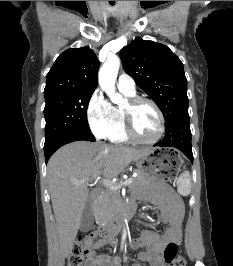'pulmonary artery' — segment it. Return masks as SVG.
<instances>
[{
  "label": "pulmonary artery",
  "mask_w": 233,
  "mask_h": 266,
  "mask_svg": "<svg viewBox=\"0 0 233 266\" xmlns=\"http://www.w3.org/2000/svg\"><path fill=\"white\" fill-rule=\"evenodd\" d=\"M119 90L126 93H135V82L133 78L127 74H121L117 81Z\"/></svg>",
  "instance_id": "obj_1"
}]
</instances>
